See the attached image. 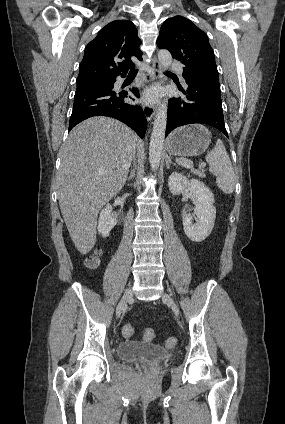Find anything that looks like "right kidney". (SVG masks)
I'll return each mask as SVG.
<instances>
[{"mask_svg": "<svg viewBox=\"0 0 285 424\" xmlns=\"http://www.w3.org/2000/svg\"><path fill=\"white\" fill-rule=\"evenodd\" d=\"M112 212V206L107 204L100 212L98 232L102 237L109 236L111 230L117 224V218Z\"/></svg>", "mask_w": 285, "mask_h": 424, "instance_id": "1", "label": "right kidney"}]
</instances>
